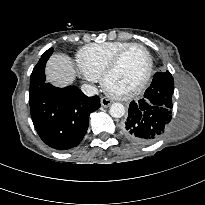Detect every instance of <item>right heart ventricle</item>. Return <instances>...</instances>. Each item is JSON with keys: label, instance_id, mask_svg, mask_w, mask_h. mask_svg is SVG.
I'll return each mask as SVG.
<instances>
[{"label": "right heart ventricle", "instance_id": "e07e8e85", "mask_svg": "<svg viewBox=\"0 0 205 205\" xmlns=\"http://www.w3.org/2000/svg\"><path fill=\"white\" fill-rule=\"evenodd\" d=\"M130 44L116 41L87 45L78 53V64L83 73L99 79L114 56Z\"/></svg>", "mask_w": 205, "mask_h": 205}]
</instances>
